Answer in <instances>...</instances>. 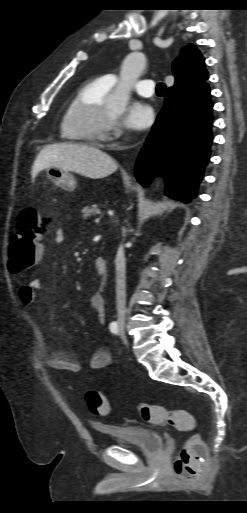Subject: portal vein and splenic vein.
<instances>
[{"label": "portal vein and splenic vein", "mask_w": 247, "mask_h": 513, "mask_svg": "<svg viewBox=\"0 0 247 513\" xmlns=\"http://www.w3.org/2000/svg\"><path fill=\"white\" fill-rule=\"evenodd\" d=\"M95 222H99V219H96Z\"/></svg>", "instance_id": "18ae733b"}]
</instances>
